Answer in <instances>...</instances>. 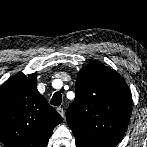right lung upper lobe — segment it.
<instances>
[{"mask_svg":"<svg viewBox=\"0 0 147 147\" xmlns=\"http://www.w3.org/2000/svg\"><path fill=\"white\" fill-rule=\"evenodd\" d=\"M36 73H18L0 87V142L4 147H46L62 117L36 87Z\"/></svg>","mask_w":147,"mask_h":147,"instance_id":"cb5924a9","label":"right lung upper lobe"}]
</instances>
